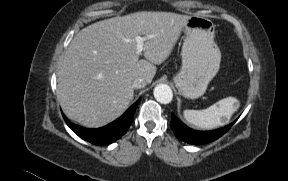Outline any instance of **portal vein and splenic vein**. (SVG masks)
<instances>
[{
    "label": "portal vein and splenic vein",
    "instance_id": "1",
    "mask_svg": "<svg viewBox=\"0 0 288 181\" xmlns=\"http://www.w3.org/2000/svg\"><path fill=\"white\" fill-rule=\"evenodd\" d=\"M146 37H141V36H136L135 37V42H136V50H137V54L141 55V52L143 51V46H144V42L146 41Z\"/></svg>",
    "mask_w": 288,
    "mask_h": 181
}]
</instances>
